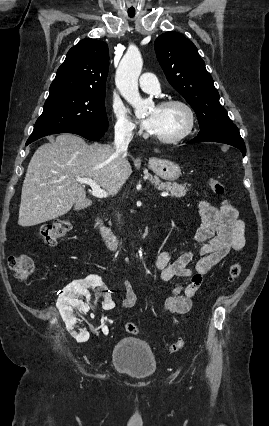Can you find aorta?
Listing matches in <instances>:
<instances>
[{
  "label": "aorta",
  "mask_w": 269,
  "mask_h": 426,
  "mask_svg": "<svg viewBox=\"0 0 269 426\" xmlns=\"http://www.w3.org/2000/svg\"><path fill=\"white\" fill-rule=\"evenodd\" d=\"M143 66V60L138 50H130L122 58L116 71V86L122 96L134 108L136 117L144 116L153 103L142 99L138 90V78Z\"/></svg>",
  "instance_id": "1"
}]
</instances>
